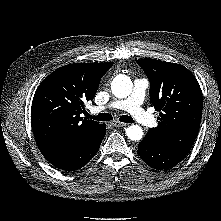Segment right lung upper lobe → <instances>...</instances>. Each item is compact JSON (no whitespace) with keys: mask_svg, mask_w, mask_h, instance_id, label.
Returning a JSON list of instances; mask_svg holds the SVG:
<instances>
[{"mask_svg":"<svg viewBox=\"0 0 221 221\" xmlns=\"http://www.w3.org/2000/svg\"><path fill=\"white\" fill-rule=\"evenodd\" d=\"M107 63H74L47 76L37 88L31 107V124L38 146L71 148L88 142L104 128L80 117L84 102L93 100Z\"/></svg>","mask_w":221,"mask_h":221,"instance_id":"1","label":"right lung upper lobe"}]
</instances>
